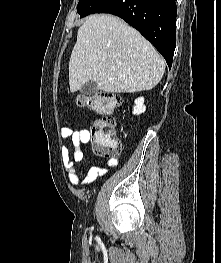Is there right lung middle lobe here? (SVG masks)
<instances>
[{"mask_svg": "<svg viewBox=\"0 0 221 263\" xmlns=\"http://www.w3.org/2000/svg\"><path fill=\"white\" fill-rule=\"evenodd\" d=\"M105 0H79L77 12L80 17L92 14Z\"/></svg>", "mask_w": 221, "mask_h": 263, "instance_id": "dd1d6c3e", "label": "right lung middle lobe"}]
</instances>
